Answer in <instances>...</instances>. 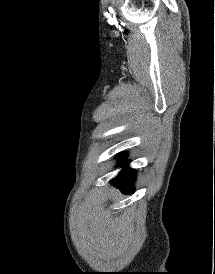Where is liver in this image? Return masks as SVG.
<instances>
[{"mask_svg":"<svg viewBox=\"0 0 215 274\" xmlns=\"http://www.w3.org/2000/svg\"><path fill=\"white\" fill-rule=\"evenodd\" d=\"M77 225L78 228L80 229V235L82 236V240L86 239V237H88V226L85 223V219L82 216H79V219H77Z\"/></svg>","mask_w":215,"mask_h":274,"instance_id":"6515ba94","label":"liver"}]
</instances>
